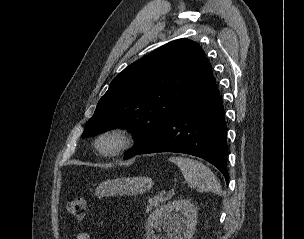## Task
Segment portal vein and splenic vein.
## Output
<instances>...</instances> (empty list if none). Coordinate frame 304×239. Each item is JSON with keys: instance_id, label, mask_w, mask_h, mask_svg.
Wrapping results in <instances>:
<instances>
[{"instance_id": "1", "label": "portal vein and splenic vein", "mask_w": 304, "mask_h": 239, "mask_svg": "<svg viewBox=\"0 0 304 239\" xmlns=\"http://www.w3.org/2000/svg\"><path fill=\"white\" fill-rule=\"evenodd\" d=\"M174 194V192L173 191H169V195H173Z\"/></svg>"}]
</instances>
